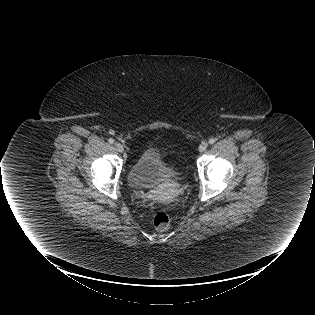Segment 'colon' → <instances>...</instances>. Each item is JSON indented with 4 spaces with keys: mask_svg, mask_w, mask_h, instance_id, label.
<instances>
[{
    "mask_svg": "<svg viewBox=\"0 0 315 315\" xmlns=\"http://www.w3.org/2000/svg\"><path fill=\"white\" fill-rule=\"evenodd\" d=\"M153 226L159 231H165L170 227V217L164 212H156L152 215Z\"/></svg>",
    "mask_w": 315,
    "mask_h": 315,
    "instance_id": "5ec220e1",
    "label": "colon"
}]
</instances>
